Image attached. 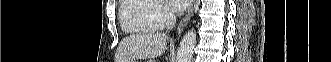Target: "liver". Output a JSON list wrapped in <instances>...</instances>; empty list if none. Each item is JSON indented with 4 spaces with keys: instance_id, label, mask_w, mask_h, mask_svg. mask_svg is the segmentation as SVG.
<instances>
[{
    "instance_id": "obj_1",
    "label": "liver",
    "mask_w": 331,
    "mask_h": 62,
    "mask_svg": "<svg viewBox=\"0 0 331 62\" xmlns=\"http://www.w3.org/2000/svg\"><path fill=\"white\" fill-rule=\"evenodd\" d=\"M167 35L145 31L125 37L119 44L115 62H136L161 56L167 46Z\"/></svg>"
}]
</instances>
